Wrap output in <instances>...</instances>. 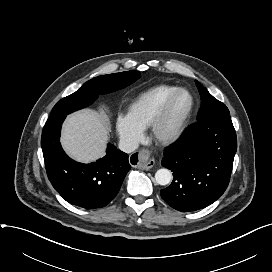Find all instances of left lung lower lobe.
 <instances>
[{
    "mask_svg": "<svg viewBox=\"0 0 272 272\" xmlns=\"http://www.w3.org/2000/svg\"><path fill=\"white\" fill-rule=\"evenodd\" d=\"M237 150L230 115L211 117L189 126L165 149L162 166L173 182L161 197L178 211H195L215 202L226 190Z\"/></svg>",
    "mask_w": 272,
    "mask_h": 272,
    "instance_id": "obj_1",
    "label": "left lung lower lobe"
}]
</instances>
